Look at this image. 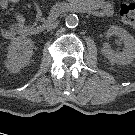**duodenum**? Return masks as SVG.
I'll use <instances>...</instances> for the list:
<instances>
[{
    "mask_svg": "<svg viewBox=\"0 0 135 135\" xmlns=\"http://www.w3.org/2000/svg\"><path fill=\"white\" fill-rule=\"evenodd\" d=\"M68 7H69L70 9H73V10H76V11H79V12H83V13H88V12H90L88 6H87L85 3H83V2H78V1H76V0H70V1L68 2ZM25 31H26V33H30V32H31L32 34L38 35V34H40V33L43 32V28L40 27V26H38V27H36V28H34V29H29V28H28V29H26Z\"/></svg>",
    "mask_w": 135,
    "mask_h": 135,
    "instance_id": "duodenum-1",
    "label": "duodenum"
}]
</instances>
